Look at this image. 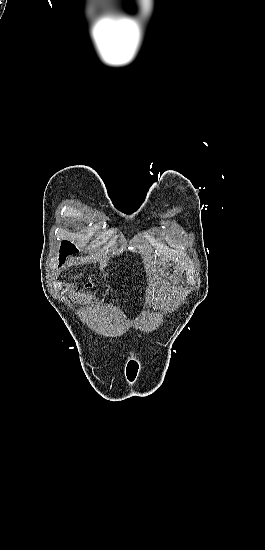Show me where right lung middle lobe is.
<instances>
[{
    "label": "right lung middle lobe",
    "mask_w": 265,
    "mask_h": 550,
    "mask_svg": "<svg viewBox=\"0 0 265 550\" xmlns=\"http://www.w3.org/2000/svg\"><path fill=\"white\" fill-rule=\"evenodd\" d=\"M78 252L76 247L69 241H63L60 247V265L65 262L68 255Z\"/></svg>",
    "instance_id": "dd1d6c3e"
}]
</instances>
